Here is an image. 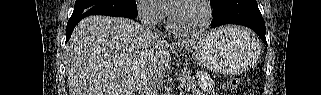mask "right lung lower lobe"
Here are the masks:
<instances>
[{"label":"right lung lower lobe","mask_w":321,"mask_h":95,"mask_svg":"<svg viewBox=\"0 0 321 95\" xmlns=\"http://www.w3.org/2000/svg\"><path fill=\"white\" fill-rule=\"evenodd\" d=\"M86 16H72L68 23H67V30H66V42L70 39V36L74 30V27L76 26V24L83 19ZM118 17V16H115ZM119 17H126V16H119ZM130 18V17H127Z\"/></svg>","instance_id":"right-lung-lower-lobe-1"}]
</instances>
